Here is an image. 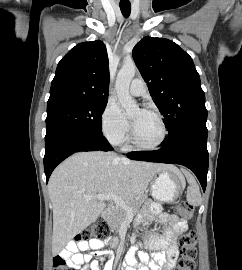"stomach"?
<instances>
[{"instance_id": "obj_1", "label": "stomach", "mask_w": 242, "mask_h": 270, "mask_svg": "<svg viewBox=\"0 0 242 270\" xmlns=\"http://www.w3.org/2000/svg\"><path fill=\"white\" fill-rule=\"evenodd\" d=\"M184 187L185 180L181 173L163 170L154 178L151 185V194L159 201L172 202L179 197Z\"/></svg>"}]
</instances>
